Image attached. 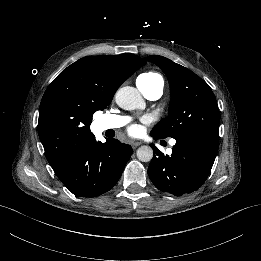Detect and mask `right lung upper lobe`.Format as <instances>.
<instances>
[{
  "label": "right lung upper lobe",
  "instance_id": "cb5924a9",
  "mask_svg": "<svg viewBox=\"0 0 261 261\" xmlns=\"http://www.w3.org/2000/svg\"><path fill=\"white\" fill-rule=\"evenodd\" d=\"M146 62L134 54L84 57L63 70L45 91L38 133L52 168L95 140L93 114L110 105L119 86Z\"/></svg>",
  "mask_w": 261,
  "mask_h": 261
}]
</instances>
